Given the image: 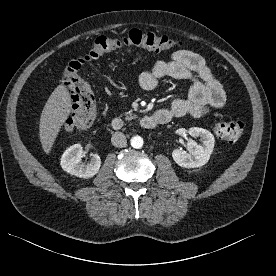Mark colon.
Segmentation results:
<instances>
[{
  "label": "colon",
  "mask_w": 276,
  "mask_h": 276,
  "mask_svg": "<svg viewBox=\"0 0 276 276\" xmlns=\"http://www.w3.org/2000/svg\"><path fill=\"white\" fill-rule=\"evenodd\" d=\"M179 45V41L168 36L139 29H132L121 37L100 36L94 39L80 55L70 59L65 64L63 81L70 94L72 112L65 120L63 128L66 131L87 128L96 119L95 95L89 84L78 73L83 63L130 47L151 51H167ZM244 126L241 120L221 121L214 124L213 131L219 138L237 140L242 135Z\"/></svg>",
  "instance_id": "1"
}]
</instances>
